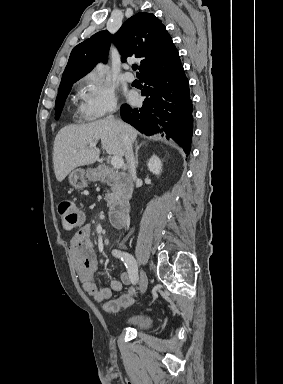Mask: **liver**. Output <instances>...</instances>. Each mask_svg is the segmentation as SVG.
Here are the masks:
<instances>
[{
	"instance_id": "6515ba94",
	"label": "liver",
	"mask_w": 283,
	"mask_h": 384,
	"mask_svg": "<svg viewBox=\"0 0 283 384\" xmlns=\"http://www.w3.org/2000/svg\"><path fill=\"white\" fill-rule=\"evenodd\" d=\"M122 134L134 142L139 132L120 120H96L85 126L62 128L55 138L53 148V166L58 182H63L78 166H90L98 160L99 148H89V144H97L98 140H101L106 154L125 156Z\"/></svg>"
}]
</instances>
